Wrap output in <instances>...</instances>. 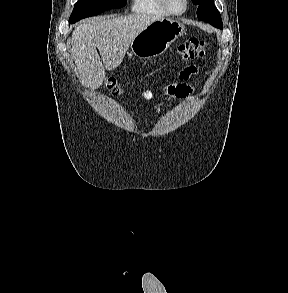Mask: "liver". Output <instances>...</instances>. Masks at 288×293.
<instances>
[{
    "label": "liver",
    "instance_id": "1",
    "mask_svg": "<svg viewBox=\"0 0 288 293\" xmlns=\"http://www.w3.org/2000/svg\"><path fill=\"white\" fill-rule=\"evenodd\" d=\"M161 18L157 14H131L97 17L78 25L72 33L71 53L81 83L91 90L99 88L105 79V69L117 68L132 40L150 23Z\"/></svg>",
    "mask_w": 288,
    "mask_h": 293
}]
</instances>
